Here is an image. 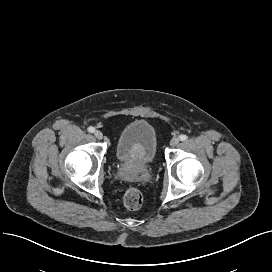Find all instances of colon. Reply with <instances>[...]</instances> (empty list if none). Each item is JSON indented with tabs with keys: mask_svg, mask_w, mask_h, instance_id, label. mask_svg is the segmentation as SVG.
<instances>
[{
	"mask_svg": "<svg viewBox=\"0 0 272 272\" xmlns=\"http://www.w3.org/2000/svg\"><path fill=\"white\" fill-rule=\"evenodd\" d=\"M143 201L141 191L136 187L129 188L124 195V204L130 210L138 209Z\"/></svg>",
	"mask_w": 272,
	"mask_h": 272,
	"instance_id": "1",
	"label": "colon"
}]
</instances>
